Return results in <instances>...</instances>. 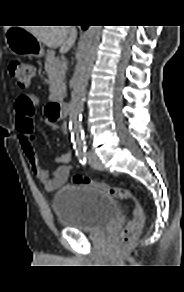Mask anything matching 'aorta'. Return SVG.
I'll list each match as a JSON object with an SVG mask.
<instances>
[{"label":"aorta","instance_id":"1","mask_svg":"<svg viewBox=\"0 0 184 292\" xmlns=\"http://www.w3.org/2000/svg\"><path fill=\"white\" fill-rule=\"evenodd\" d=\"M101 26H89L77 53V65L73 78L71 101L69 106V119L75 142L81 144V114L84 105L85 91L90 72L95 60L96 49L100 41Z\"/></svg>","mask_w":184,"mask_h":292}]
</instances>
